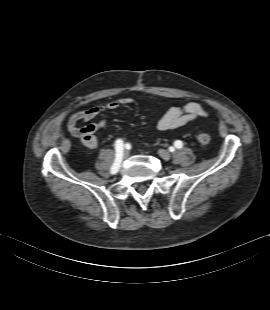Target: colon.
<instances>
[{"label":"colon","mask_w":270,"mask_h":310,"mask_svg":"<svg viewBox=\"0 0 270 310\" xmlns=\"http://www.w3.org/2000/svg\"><path fill=\"white\" fill-rule=\"evenodd\" d=\"M196 139L198 143L202 146H206L210 143L211 137L208 132L204 130H199L196 134Z\"/></svg>","instance_id":"1"}]
</instances>
